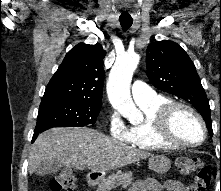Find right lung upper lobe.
Segmentation results:
<instances>
[{
	"label": "right lung upper lobe",
	"mask_w": 221,
	"mask_h": 191,
	"mask_svg": "<svg viewBox=\"0 0 221 191\" xmlns=\"http://www.w3.org/2000/svg\"><path fill=\"white\" fill-rule=\"evenodd\" d=\"M105 55L100 44H77L66 54L51 78L41 104L62 101L102 103Z\"/></svg>",
	"instance_id": "1"
}]
</instances>
